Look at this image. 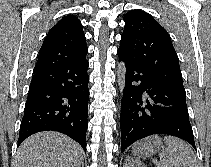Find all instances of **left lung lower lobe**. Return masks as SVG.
<instances>
[{"label":"left lung lower lobe","mask_w":211,"mask_h":167,"mask_svg":"<svg viewBox=\"0 0 211 167\" xmlns=\"http://www.w3.org/2000/svg\"><path fill=\"white\" fill-rule=\"evenodd\" d=\"M125 65L121 103V152L135 141L153 134L179 137L195 149L186 105V93L159 81L118 49Z\"/></svg>","instance_id":"obj_1"}]
</instances>
